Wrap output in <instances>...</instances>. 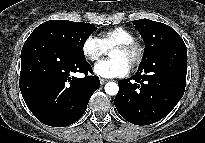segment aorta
<instances>
[{
	"mask_svg": "<svg viewBox=\"0 0 205 143\" xmlns=\"http://www.w3.org/2000/svg\"><path fill=\"white\" fill-rule=\"evenodd\" d=\"M105 92L108 94V95H116L118 93V90H119V87H118V84H116L115 82H108L106 85H105Z\"/></svg>",
	"mask_w": 205,
	"mask_h": 143,
	"instance_id": "aorta-1",
	"label": "aorta"
}]
</instances>
